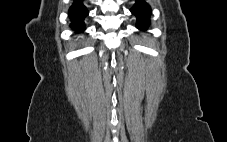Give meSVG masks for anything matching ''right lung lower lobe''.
<instances>
[{
  "label": "right lung lower lobe",
  "mask_w": 227,
  "mask_h": 142,
  "mask_svg": "<svg viewBox=\"0 0 227 142\" xmlns=\"http://www.w3.org/2000/svg\"><path fill=\"white\" fill-rule=\"evenodd\" d=\"M88 15V10L82 4V0H76L73 5L69 9V16L71 18V27L75 31H83L85 29L84 26V18Z\"/></svg>",
  "instance_id": "obj_1"
}]
</instances>
